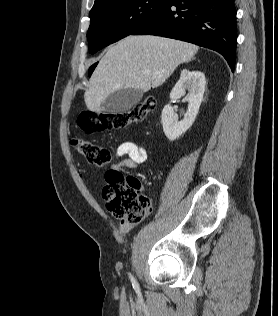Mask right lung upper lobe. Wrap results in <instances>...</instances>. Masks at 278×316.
I'll return each mask as SVG.
<instances>
[{
  "label": "right lung upper lobe",
  "mask_w": 278,
  "mask_h": 316,
  "mask_svg": "<svg viewBox=\"0 0 278 316\" xmlns=\"http://www.w3.org/2000/svg\"><path fill=\"white\" fill-rule=\"evenodd\" d=\"M104 1H107V0H95L94 6L100 4V3L104 2Z\"/></svg>",
  "instance_id": "right-lung-upper-lobe-1"
}]
</instances>
